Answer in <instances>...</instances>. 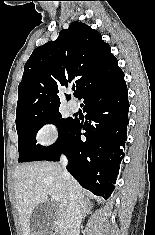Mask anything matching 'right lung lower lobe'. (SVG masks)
<instances>
[{"label": "right lung lower lobe", "instance_id": "98d812e1", "mask_svg": "<svg viewBox=\"0 0 155 235\" xmlns=\"http://www.w3.org/2000/svg\"><path fill=\"white\" fill-rule=\"evenodd\" d=\"M78 98L84 99L86 121L74 120L65 142L46 161L68 158L67 170L80 185L108 199L113 192L127 140L128 90L122 70L89 85ZM86 132L82 141L81 131Z\"/></svg>", "mask_w": 155, "mask_h": 235}]
</instances>
